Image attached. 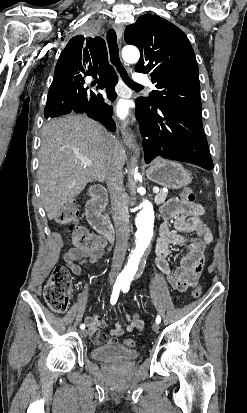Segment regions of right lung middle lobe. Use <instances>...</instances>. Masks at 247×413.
Returning a JSON list of instances; mask_svg holds the SVG:
<instances>
[{
	"mask_svg": "<svg viewBox=\"0 0 247 413\" xmlns=\"http://www.w3.org/2000/svg\"><path fill=\"white\" fill-rule=\"evenodd\" d=\"M75 86L67 82H53L49 88L48 100L55 98H62L72 94Z\"/></svg>",
	"mask_w": 247,
	"mask_h": 413,
	"instance_id": "dd1d6c3e",
	"label": "right lung middle lobe"
}]
</instances>
